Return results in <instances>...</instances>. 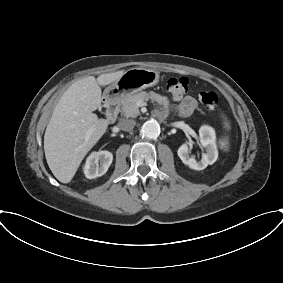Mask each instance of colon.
Returning a JSON list of instances; mask_svg holds the SVG:
<instances>
[{"mask_svg": "<svg viewBox=\"0 0 283 283\" xmlns=\"http://www.w3.org/2000/svg\"><path fill=\"white\" fill-rule=\"evenodd\" d=\"M189 81L185 77L171 78L167 82V89L175 97L183 96L188 90ZM202 106L208 111H215L218 106L216 93L210 90H201L198 94Z\"/></svg>", "mask_w": 283, "mask_h": 283, "instance_id": "colon-1", "label": "colon"}]
</instances>
